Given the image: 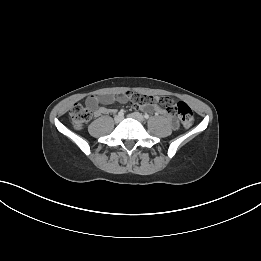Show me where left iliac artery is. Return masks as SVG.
Segmentation results:
<instances>
[{
	"instance_id": "1",
	"label": "left iliac artery",
	"mask_w": 261,
	"mask_h": 261,
	"mask_svg": "<svg viewBox=\"0 0 261 261\" xmlns=\"http://www.w3.org/2000/svg\"><path fill=\"white\" fill-rule=\"evenodd\" d=\"M144 118H145V119H148V118H149V115H148V114H145V115H144Z\"/></svg>"
}]
</instances>
